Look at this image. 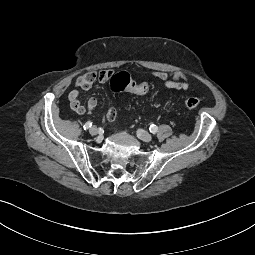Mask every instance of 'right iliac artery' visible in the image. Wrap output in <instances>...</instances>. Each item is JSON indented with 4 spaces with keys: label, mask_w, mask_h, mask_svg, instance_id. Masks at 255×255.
<instances>
[{
    "label": "right iliac artery",
    "mask_w": 255,
    "mask_h": 255,
    "mask_svg": "<svg viewBox=\"0 0 255 255\" xmlns=\"http://www.w3.org/2000/svg\"><path fill=\"white\" fill-rule=\"evenodd\" d=\"M91 126H92V122L88 121V122H86V123L84 124L83 128H84V130H87V129H89Z\"/></svg>",
    "instance_id": "right-iliac-artery-1"
}]
</instances>
